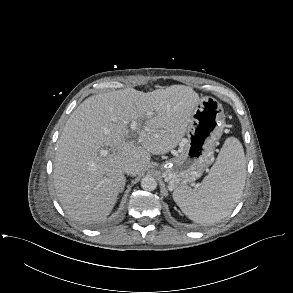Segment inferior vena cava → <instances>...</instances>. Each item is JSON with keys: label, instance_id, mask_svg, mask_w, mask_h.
Returning <instances> with one entry per match:
<instances>
[{"label": "inferior vena cava", "instance_id": "obj_1", "mask_svg": "<svg viewBox=\"0 0 293 293\" xmlns=\"http://www.w3.org/2000/svg\"><path fill=\"white\" fill-rule=\"evenodd\" d=\"M135 170V166L132 163H127L123 166V171L127 174H132Z\"/></svg>", "mask_w": 293, "mask_h": 293}]
</instances>
